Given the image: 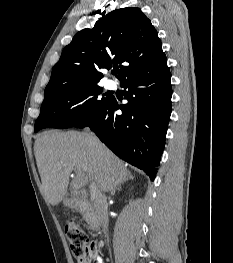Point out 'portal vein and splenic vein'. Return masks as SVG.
<instances>
[{
    "label": "portal vein and splenic vein",
    "instance_id": "obj_1",
    "mask_svg": "<svg viewBox=\"0 0 233 263\" xmlns=\"http://www.w3.org/2000/svg\"><path fill=\"white\" fill-rule=\"evenodd\" d=\"M77 172V182L78 185H85L88 183V177L84 174V172H81L79 170L76 171Z\"/></svg>",
    "mask_w": 233,
    "mask_h": 263
}]
</instances>
